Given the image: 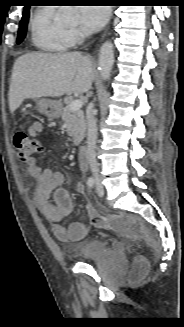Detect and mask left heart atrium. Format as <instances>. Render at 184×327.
I'll list each match as a JSON object with an SVG mask.
<instances>
[{"label":"left heart atrium","mask_w":184,"mask_h":327,"mask_svg":"<svg viewBox=\"0 0 184 327\" xmlns=\"http://www.w3.org/2000/svg\"><path fill=\"white\" fill-rule=\"evenodd\" d=\"M109 17V9L106 7H92L84 5L78 9V18L81 27L89 32L101 29Z\"/></svg>","instance_id":"obj_1"}]
</instances>
